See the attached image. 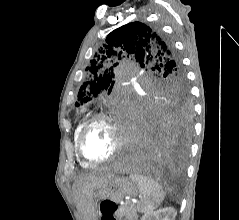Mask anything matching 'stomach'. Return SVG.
I'll return each mask as SVG.
<instances>
[{
  "label": "stomach",
  "instance_id": "0dacf381",
  "mask_svg": "<svg viewBox=\"0 0 239 220\" xmlns=\"http://www.w3.org/2000/svg\"><path fill=\"white\" fill-rule=\"evenodd\" d=\"M139 188L136 183L128 178H117L112 176L110 181L94 193L98 202L96 213H99L98 220H122L121 205L118 204L124 197H135Z\"/></svg>",
  "mask_w": 239,
  "mask_h": 220
}]
</instances>
